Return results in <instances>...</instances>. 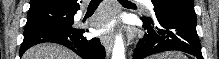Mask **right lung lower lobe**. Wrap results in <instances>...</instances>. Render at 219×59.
Segmentation results:
<instances>
[{
	"label": "right lung lower lobe",
	"instance_id": "right-lung-lower-lobe-1",
	"mask_svg": "<svg viewBox=\"0 0 219 59\" xmlns=\"http://www.w3.org/2000/svg\"><path fill=\"white\" fill-rule=\"evenodd\" d=\"M79 7L73 11L71 22L60 27H49L24 34L20 48V56L30 47L44 42L58 43L68 47L83 59H105V48L98 38L87 39L84 29L73 27L74 15Z\"/></svg>",
	"mask_w": 219,
	"mask_h": 59
}]
</instances>
